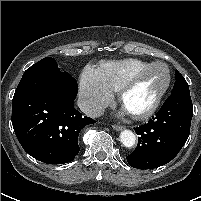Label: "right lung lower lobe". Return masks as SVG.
I'll use <instances>...</instances> for the list:
<instances>
[{
    "label": "right lung lower lobe",
    "instance_id": "obj_1",
    "mask_svg": "<svg viewBox=\"0 0 201 201\" xmlns=\"http://www.w3.org/2000/svg\"><path fill=\"white\" fill-rule=\"evenodd\" d=\"M77 81L60 70L30 69L12 100V125L23 149L46 164L71 162L81 129L95 121L74 108Z\"/></svg>",
    "mask_w": 201,
    "mask_h": 201
}]
</instances>
